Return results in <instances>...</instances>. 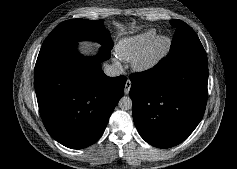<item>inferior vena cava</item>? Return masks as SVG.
<instances>
[{
	"label": "inferior vena cava",
	"instance_id": "602c4592",
	"mask_svg": "<svg viewBox=\"0 0 237 169\" xmlns=\"http://www.w3.org/2000/svg\"><path fill=\"white\" fill-rule=\"evenodd\" d=\"M103 71L105 75L109 77H117L120 75V70L114 65H106Z\"/></svg>",
	"mask_w": 237,
	"mask_h": 169
}]
</instances>
